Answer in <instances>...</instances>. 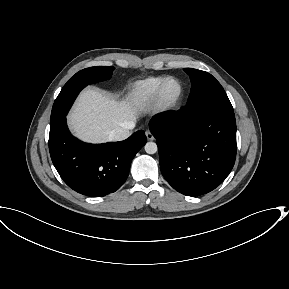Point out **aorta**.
I'll list each match as a JSON object with an SVG mask.
<instances>
[{
    "label": "aorta",
    "mask_w": 289,
    "mask_h": 289,
    "mask_svg": "<svg viewBox=\"0 0 289 289\" xmlns=\"http://www.w3.org/2000/svg\"><path fill=\"white\" fill-rule=\"evenodd\" d=\"M144 148H145L146 153L148 154H154L158 150L157 144L154 142H147Z\"/></svg>",
    "instance_id": "obj_1"
}]
</instances>
